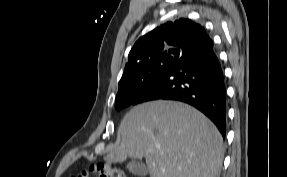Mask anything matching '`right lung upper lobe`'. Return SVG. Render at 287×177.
Returning a JSON list of instances; mask_svg holds the SVG:
<instances>
[{
  "label": "right lung upper lobe",
  "mask_w": 287,
  "mask_h": 177,
  "mask_svg": "<svg viewBox=\"0 0 287 177\" xmlns=\"http://www.w3.org/2000/svg\"><path fill=\"white\" fill-rule=\"evenodd\" d=\"M204 30L192 20L181 18L175 22H167L142 36L129 53L128 63L119 84L135 78L161 59L181 57L187 45Z\"/></svg>",
  "instance_id": "obj_1"
}]
</instances>
